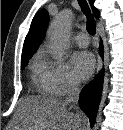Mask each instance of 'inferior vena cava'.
Instances as JSON below:
<instances>
[{
    "mask_svg": "<svg viewBox=\"0 0 123 130\" xmlns=\"http://www.w3.org/2000/svg\"><path fill=\"white\" fill-rule=\"evenodd\" d=\"M79 94H80V89H79L78 83L75 81H70L69 85H68L67 96L65 98L64 103L65 104H71V103L76 104L79 99Z\"/></svg>",
    "mask_w": 123,
    "mask_h": 130,
    "instance_id": "obj_1",
    "label": "inferior vena cava"
}]
</instances>
